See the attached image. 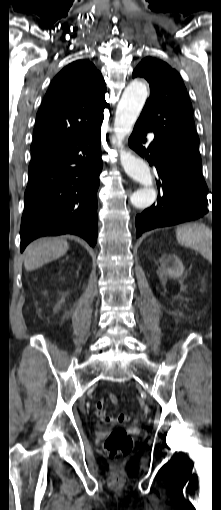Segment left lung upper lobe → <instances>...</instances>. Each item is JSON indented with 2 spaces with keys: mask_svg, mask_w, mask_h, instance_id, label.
I'll return each mask as SVG.
<instances>
[{
  "mask_svg": "<svg viewBox=\"0 0 221 510\" xmlns=\"http://www.w3.org/2000/svg\"><path fill=\"white\" fill-rule=\"evenodd\" d=\"M133 77H143L150 85V96L138 120L146 123L160 140L201 159L192 104L179 73L161 60L146 57Z\"/></svg>",
  "mask_w": 221,
  "mask_h": 510,
  "instance_id": "obj_1",
  "label": "left lung upper lobe"
}]
</instances>
